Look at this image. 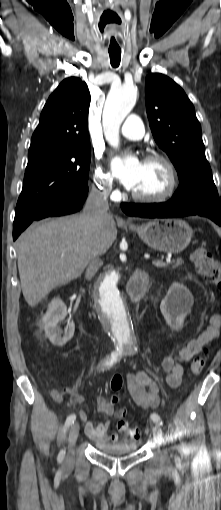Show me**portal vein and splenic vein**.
<instances>
[{
	"mask_svg": "<svg viewBox=\"0 0 221 510\" xmlns=\"http://www.w3.org/2000/svg\"><path fill=\"white\" fill-rule=\"evenodd\" d=\"M152 264L155 265V266H158V267H163V266L166 265V263H164L163 261H160V260H153Z\"/></svg>",
	"mask_w": 221,
	"mask_h": 510,
	"instance_id": "portal-vein-and-splenic-vein-1",
	"label": "portal vein and splenic vein"
}]
</instances>
